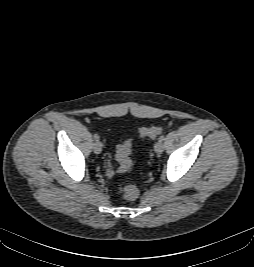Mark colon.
I'll return each instance as SVG.
<instances>
[{"label":"colon","mask_w":254,"mask_h":267,"mask_svg":"<svg viewBox=\"0 0 254 267\" xmlns=\"http://www.w3.org/2000/svg\"><path fill=\"white\" fill-rule=\"evenodd\" d=\"M162 131L163 129L159 126L144 127L139 130V137L155 138ZM131 147H132L131 139L123 141L117 147L116 158L119 164L118 171L120 173H125L129 171L131 168V158H130ZM138 195H139V190L134 185H126L122 189V197L126 200L133 201L138 197Z\"/></svg>","instance_id":"obj_1"}]
</instances>
